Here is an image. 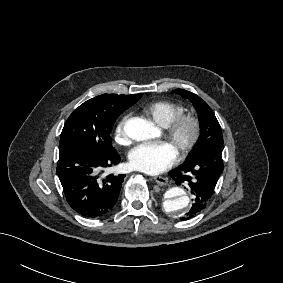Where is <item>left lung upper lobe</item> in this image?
<instances>
[{
  "mask_svg": "<svg viewBox=\"0 0 283 283\" xmlns=\"http://www.w3.org/2000/svg\"><path fill=\"white\" fill-rule=\"evenodd\" d=\"M174 92L180 94L184 98H188L198 112L200 122V137L194 147L193 152L187 160L200 155L203 151L211 148H222L223 137L221 127L216 119L212 109L206 102L194 93L184 89H176Z\"/></svg>",
  "mask_w": 283,
  "mask_h": 283,
  "instance_id": "1",
  "label": "left lung upper lobe"
}]
</instances>
